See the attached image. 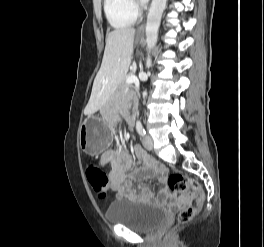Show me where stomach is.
<instances>
[{
	"instance_id": "0dacf381",
	"label": "stomach",
	"mask_w": 264,
	"mask_h": 247,
	"mask_svg": "<svg viewBox=\"0 0 264 247\" xmlns=\"http://www.w3.org/2000/svg\"><path fill=\"white\" fill-rule=\"evenodd\" d=\"M112 128L105 116H89L79 128L81 149L89 155L103 152L111 142Z\"/></svg>"
}]
</instances>
